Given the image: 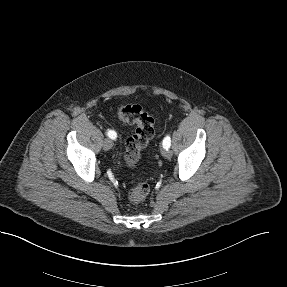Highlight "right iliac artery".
Here are the masks:
<instances>
[{
    "label": "right iliac artery",
    "mask_w": 287,
    "mask_h": 287,
    "mask_svg": "<svg viewBox=\"0 0 287 287\" xmlns=\"http://www.w3.org/2000/svg\"><path fill=\"white\" fill-rule=\"evenodd\" d=\"M107 135H108V137L111 138V139H115L116 136H117L116 132L113 131V130H108Z\"/></svg>",
    "instance_id": "right-iliac-artery-1"
}]
</instances>
